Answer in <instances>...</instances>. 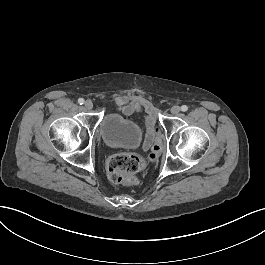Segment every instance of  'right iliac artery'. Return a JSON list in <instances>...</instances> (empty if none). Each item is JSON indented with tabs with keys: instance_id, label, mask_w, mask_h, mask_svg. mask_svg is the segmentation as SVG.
Wrapping results in <instances>:
<instances>
[{
	"instance_id": "1",
	"label": "right iliac artery",
	"mask_w": 265,
	"mask_h": 265,
	"mask_svg": "<svg viewBox=\"0 0 265 265\" xmlns=\"http://www.w3.org/2000/svg\"><path fill=\"white\" fill-rule=\"evenodd\" d=\"M78 103H79L80 105L84 104V99H83V98H79V99H78Z\"/></svg>"
}]
</instances>
